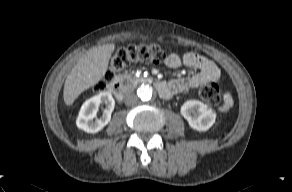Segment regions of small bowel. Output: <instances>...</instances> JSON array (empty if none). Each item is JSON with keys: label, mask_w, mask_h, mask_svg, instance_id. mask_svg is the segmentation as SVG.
<instances>
[{"label": "small bowel", "mask_w": 292, "mask_h": 192, "mask_svg": "<svg viewBox=\"0 0 292 192\" xmlns=\"http://www.w3.org/2000/svg\"><path fill=\"white\" fill-rule=\"evenodd\" d=\"M165 64L172 69L184 65L198 71L191 76L176 78L169 81L170 94L165 98H169L176 94L190 92L193 89L208 83H221V72L218 66L210 59L197 53L187 52L182 55L172 53L166 58ZM231 105L232 97L229 92H225L222 110H228Z\"/></svg>", "instance_id": "small-bowel-1"}]
</instances>
